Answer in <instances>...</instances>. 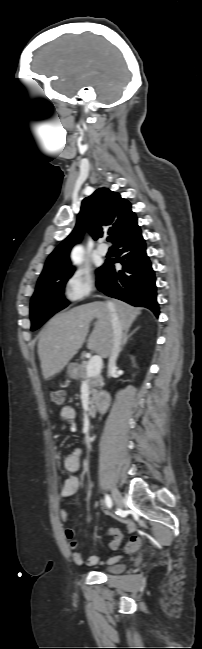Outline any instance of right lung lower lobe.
Listing matches in <instances>:
<instances>
[{
    "label": "right lung lower lobe",
    "instance_id": "98d812e1",
    "mask_svg": "<svg viewBox=\"0 0 202 649\" xmlns=\"http://www.w3.org/2000/svg\"><path fill=\"white\" fill-rule=\"evenodd\" d=\"M114 247L118 259H107L99 269L96 282L98 290L133 306L146 307L158 316L155 273L146 254V243L140 228L118 239ZM115 262L123 265L122 270H115Z\"/></svg>",
    "mask_w": 202,
    "mask_h": 649
}]
</instances>
